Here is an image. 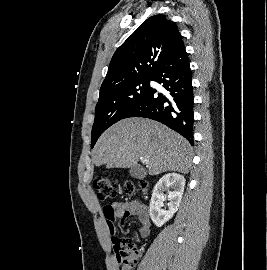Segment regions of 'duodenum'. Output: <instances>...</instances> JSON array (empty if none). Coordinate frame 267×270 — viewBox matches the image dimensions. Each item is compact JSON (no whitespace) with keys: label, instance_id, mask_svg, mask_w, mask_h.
I'll return each mask as SVG.
<instances>
[{"label":"duodenum","instance_id":"duodenum-1","mask_svg":"<svg viewBox=\"0 0 267 270\" xmlns=\"http://www.w3.org/2000/svg\"><path fill=\"white\" fill-rule=\"evenodd\" d=\"M143 193H144V194L146 193L145 189L143 190Z\"/></svg>","mask_w":267,"mask_h":270}]
</instances>
